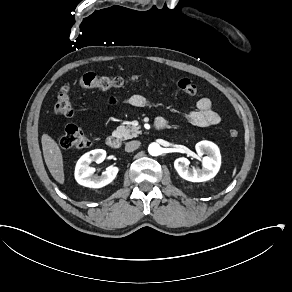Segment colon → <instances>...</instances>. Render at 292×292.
Masks as SVG:
<instances>
[{
    "label": "colon",
    "instance_id": "5ec220e1",
    "mask_svg": "<svg viewBox=\"0 0 292 292\" xmlns=\"http://www.w3.org/2000/svg\"><path fill=\"white\" fill-rule=\"evenodd\" d=\"M141 80H148L140 74L134 73L130 76H98L94 73H86L78 78L73 85L80 88H100V89H121L130 82H138ZM178 88L189 95H197L198 88L196 84L189 78H180L177 82ZM72 84L67 83L61 86L60 91L56 97L54 112L56 116L61 118H69L73 115L74 109L72 100L70 98ZM231 137L236 138L239 131L232 128L229 131ZM90 145L86 133L79 127L70 125L65 128L61 138L60 146L66 150L83 149Z\"/></svg>",
    "mask_w": 292,
    "mask_h": 292
}]
</instances>
